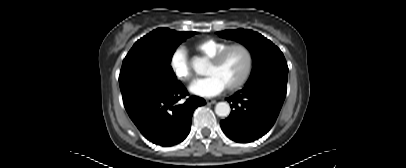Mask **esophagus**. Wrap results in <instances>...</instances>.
Masks as SVG:
<instances>
[{"label":"esophagus","instance_id":"34e87169","mask_svg":"<svg viewBox=\"0 0 406 168\" xmlns=\"http://www.w3.org/2000/svg\"><path fill=\"white\" fill-rule=\"evenodd\" d=\"M206 103L207 104H215L216 103V100L215 99H206Z\"/></svg>","mask_w":406,"mask_h":168}]
</instances>
